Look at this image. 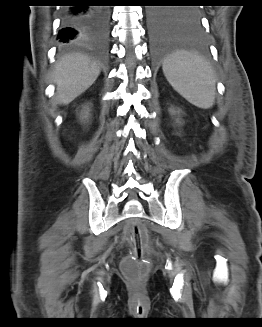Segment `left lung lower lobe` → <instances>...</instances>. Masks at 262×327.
<instances>
[{
	"label": "left lung lower lobe",
	"instance_id": "0a47b994",
	"mask_svg": "<svg viewBox=\"0 0 262 327\" xmlns=\"http://www.w3.org/2000/svg\"><path fill=\"white\" fill-rule=\"evenodd\" d=\"M152 52L161 55L171 51L205 53L208 48L200 20L190 18L186 9L153 7L148 14Z\"/></svg>",
	"mask_w": 262,
	"mask_h": 327
}]
</instances>
